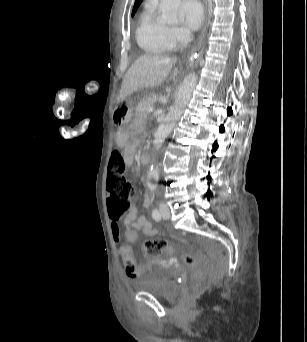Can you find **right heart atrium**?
<instances>
[{
    "mask_svg": "<svg viewBox=\"0 0 307 342\" xmlns=\"http://www.w3.org/2000/svg\"><path fill=\"white\" fill-rule=\"evenodd\" d=\"M164 40L172 46L177 45L178 38H179V32L177 30H164L162 32Z\"/></svg>",
    "mask_w": 307,
    "mask_h": 342,
    "instance_id": "1",
    "label": "right heart atrium"
}]
</instances>
